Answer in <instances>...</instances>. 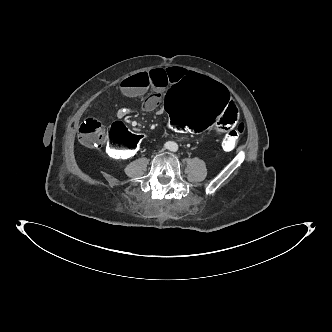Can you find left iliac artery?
I'll return each mask as SVG.
<instances>
[{"label": "left iliac artery", "mask_w": 332, "mask_h": 332, "mask_svg": "<svg viewBox=\"0 0 332 332\" xmlns=\"http://www.w3.org/2000/svg\"><path fill=\"white\" fill-rule=\"evenodd\" d=\"M171 150H172L173 152H176V151L178 150V146H177V144H173Z\"/></svg>", "instance_id": "1"}]
</instances>
